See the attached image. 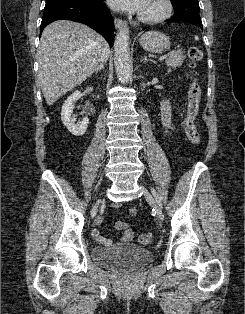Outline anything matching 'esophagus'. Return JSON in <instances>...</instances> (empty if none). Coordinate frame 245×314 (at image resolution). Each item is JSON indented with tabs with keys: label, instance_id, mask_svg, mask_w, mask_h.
<instances>
[{
	"label": "esophagus",
	"instance_id": "obj_1",
	"mask_svg": "<svg viewBox=\"0 0 245 314\" xmlns=\"http://www.w3.org/2000/svg\"><path fill=\"white\" fill-rule=\"evenodd\" d=\"M114 23H115V27L118 28V29L121 28L122 26H124V22L121 19H118V18H116L114 20Z\"/></svg>",
	"mask_w": 245,
	"mask_h": 314
}]
</instances>
